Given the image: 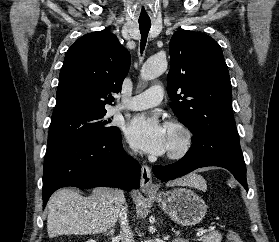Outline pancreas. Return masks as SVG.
Returning <instances> with one entry per match:
<instances>
[{
    "instance_id": "pancreas-1",
    "label": "pancreas",
    "mask_w": 279,
    "mask_h": 242,
    "mask_svg": "<svg viewBox=\"0 0 279 242\" xmlns=\"http://www.w3.org/2000/svg\"><path fill=\"white\" fill-rule=\"evenodd\" d=\"M221 240L222 235L218 231H212L199 239L202 242H221Z\"/></svg>"
}]
</instances>
